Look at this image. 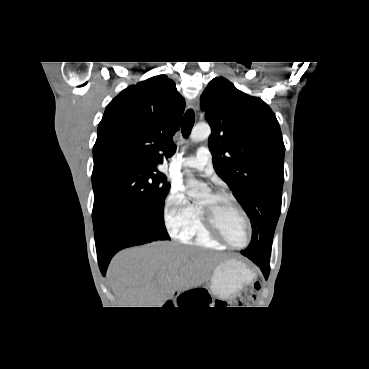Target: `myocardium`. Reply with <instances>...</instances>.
I'll use <instances>...</instances> for the list:
<instances>
[{
  "label": "myocardium",
  "mask_w": 369,
  "mask_h": 369,
  "mask_svg": "<svg viewBox=\"0 0 369 369\" xmlns=\"http://www.w3.org/2000/svg\"><path fill=\"white\" fill-rule=\"evenodd\" d=\"M211 195H212V198L216 201L226 200V201L231 202L240 211V213L242 214L244 218L245 224H246L247 239L243 245H234L233 243H231L220 230L217 224V221H216L214 210L206 209V208L199 206V210L201 213V219H202L203 225L205 229L207 230V232L215 240H217L221 244L227 247H230L232 249L241 250V249L248 247L252 240L253 231H252L251 221H250V218L246 210L243 208V206L237 201V199L233 195L227 192L217 191V192L211 193Z\"/></svg>",
  "instance_id": "1"
}]
</instances>
